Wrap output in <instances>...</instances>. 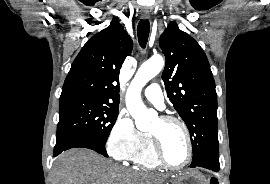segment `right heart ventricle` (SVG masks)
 Listing matches in <instances>:
<instances>
[{"label": "right heart ventricle", "mask_w": 270, "mask_h": 184, "mask_svg": "<svg viewBox=\"0 0 270 184\" xmlns=\"http://www.w3.org/2000/svg\"><path fill=\"white\" fill-rule=\"evenodd\" d=\"M130 161L136 166L147 169H154L160 166L154 155L151 139L148 135L145 134L143 144Z\"/></svg>", "instance_id": "e07e8e85"}]
</instances>
